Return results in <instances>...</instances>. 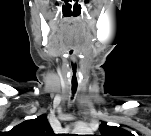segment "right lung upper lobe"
Returning a JSON list of instances; mask_svg holds the SVG:
<instances>
[{
    "instance_id": "obj_1",
    "label": "right lung upper lobe",
    "mask_w": 151,
    "mask_h": 136,
    "mask_svg": "<svg viewBox=\"0 0 151 136\" xmlns=\"http://www.w3.org/2000/svg\"><path fill=\"white\" fill-rule=\"evenodd\" d=\"M11 132L16 136H52V128L46 115L26 120L15 126Z\"/></svg>"
}]
</instances>
